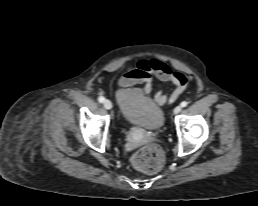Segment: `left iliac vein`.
Segmentation results:
<instances>
[{
    "instance_id": "left-iliac-vein-1",
    "label": "left iliac vein",
    "mask_w": 258,
    "mask_h": 206,
    "mask_svg": "<svg viewBox=\"0 0 258 206\" xmlns=\"http://www.w3.org/2000/svg\"><path fill=\"white\" fill-rule=\"evenodd\" d=\"M181 110H182V107L181 106H176L175 108H174V114H178V113H180L181 112Z\"/></svg>"
}]
</instances>
